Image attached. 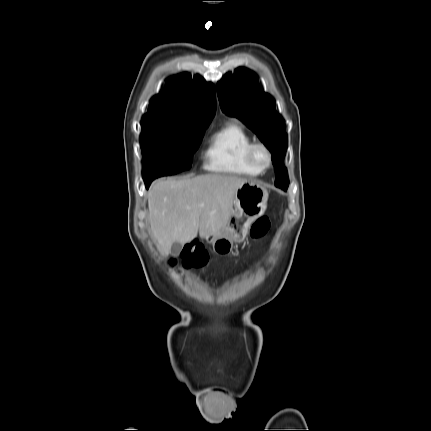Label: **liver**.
I'll list each match as a JSON object with an SVG mask.
<instances>
[{
  "label": "liver",
  "instance_id": "1",
  "mask_svg": "<svg viewBox=\"0 0 431 431\" xmlns=\"http://www.w3.org/2000/svg\"><path fill=\"white\" fill-rule=\"evenodd\" d=\"M246 182L223 174L156 180L147 195L148 220L161 255L168 256L174 242H191L198 232L201 238L220 234L235 193Z\"/></svg>",
  "mask_w": 431,
  "mask_h": 431
}]
</instances>
